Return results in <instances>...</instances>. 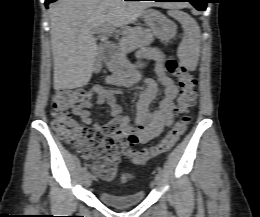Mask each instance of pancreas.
<instances>
[{
  "instance_id": "pancreas-1",
  "label": "pancreas",
  "mask_w": 260,
  "mask_h": 217,
  "mask_svg": "<svg viewBox=\"0 0 260 217\" xmlns=\"http://www.w3.org/2000/svg\"><path fill=\"white\" fill-rule=\"evenodd\" d=\"M153 41V34L148 29L130 28L125 31V35L120 41V49L124 53H128L138 47L150 45Z\"/></svg>"
}]
</instances>
